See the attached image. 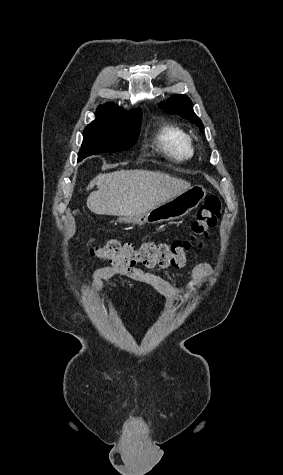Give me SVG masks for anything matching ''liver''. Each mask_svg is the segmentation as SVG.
<instances>
[{"mask_svg": "<svg viewBox=\"0 0 283 475\" xmlns=\"http://www.w3.org/2000/svg\"><path fill=\"white\" fill-rule=\"evenodd\" d=\"M93 186L98 190L87 198V208L93 214L105 216H139L191 188V184L181 178L148 170L99 174L86 190H92Z\"/></svg>", "mask_w": 283, "mask_h": 475, "instance_id": "6515ba94", "label": "liver"}]
</instances>
